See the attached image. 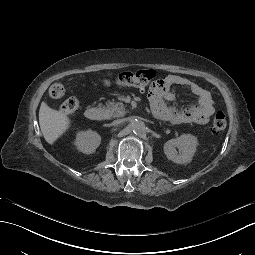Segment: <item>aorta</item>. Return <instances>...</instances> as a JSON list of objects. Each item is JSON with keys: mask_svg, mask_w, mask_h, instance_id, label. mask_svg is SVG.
I'll use <instances>...</instances> for the list:
<instances>
[{"mask_svg": "<svg viewBox=\"0 0 255 255\" xmlns=\"http://www.w3.org/2000/svg\"><path fill=\"white\" fill-rule=\"evenodd\" d=\"M131 128L134 133L140 134L145 130V123L141 120H135L131 124Z\"/></svg>", "mask_w": 255, "mask_h": 255, "instance_id": "762f6f07", "label": "aorta"}]
</instances>
